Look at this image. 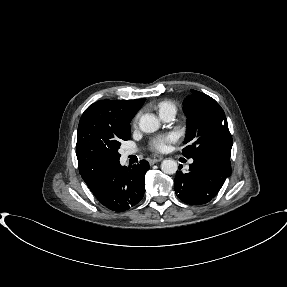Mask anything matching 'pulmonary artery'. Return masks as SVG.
Masks as SVG:
<instances>
[{
	"label": "pulmonary artery",
	"mask_w": 287,
	"mask_h": 287,
	"mask_svg": "<svg viewBox=\"0 0 287 287\" xmlns=\"http://www.w3.org/2000/svg\"><path fill=\"white\" fill-rule=\"evenodd\" d=\"M174 116H175V112L171 111V110L165 111V112L160 114V118L166 122L171 121L174 118ZM134 153H135L134 150H127L124 154H125V156H129V155H132Z\"/></svg>",
	"instance_id": "e3ab8cb5"
}]
</instances>
